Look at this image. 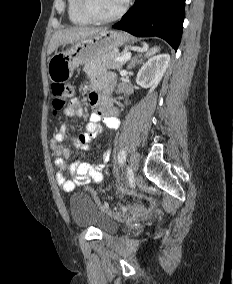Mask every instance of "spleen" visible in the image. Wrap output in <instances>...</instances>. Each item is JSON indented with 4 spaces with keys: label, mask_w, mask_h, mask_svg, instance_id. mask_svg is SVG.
<instances>
[{
    "label": "spleen",
    "mask_w": 233,
    "mask_h": 284,
    "mask_svg": "<svg viewBox=\"0 0 233 284\" xmlns=\"http://www.w3.org/2000/svg\"><path fill=\"white\" fill-rule=\"evenodd\" d=\"M158 51V48H153V49H151V51L148 53V55H152V54H154V53H156Z\"/></svg>",
    "instance_id": "obj_1"
}]
</instances>
